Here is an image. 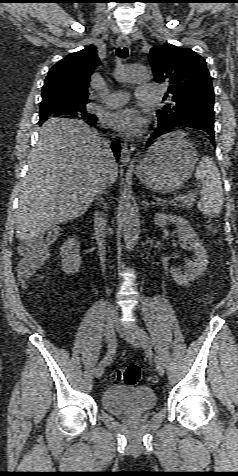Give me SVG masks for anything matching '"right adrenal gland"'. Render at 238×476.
Returning a JSON list of instances; mask_svg holds the SVG:
<instances>
[{
	"label": "right adrenal gland",
	"mask_w": 238,
	"mask_h": 476,
	"mask_svg": "<svg viewBox=\"0 0 238 476\" xmlns=\"http://www.w3.org/2000/svg\"><path fill=\"white\" fill-rule=\"evenodd\" d=\"M99 203H100V205L103 206V208H104L105 210L107 209V205H106V203H105V201H104V197H103V196L100 197V202H99Z\"/></svg>",
	"instance_id": "right-adrenal-gland-1"
}]
</instances>
